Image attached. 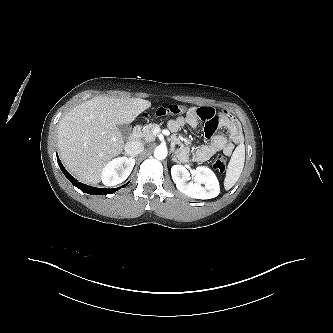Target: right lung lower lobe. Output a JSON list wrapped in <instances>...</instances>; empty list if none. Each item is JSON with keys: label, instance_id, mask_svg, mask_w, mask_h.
<instances>
[{"label": "right lung lower lobe", "instance_id": "right-lung-lower-lobe-1", "mask_svg": "<svg viewBox=\"0 0 333 333\" xmlns=\"http://www.w3.org/2000/svg\"><path fill=\"white\" fill-rule=\"evenodd\" d=\"M57 161L58 164L60 166V169L62 170L63 174L67 177V179L78 189H80L82 192H85L87 194H112L115 191H117L120 188H114V189H103V188H96V187H92V186H87L86 184H83L81 182H78L74 177H72L67 170L64 168V166L62 165L58 155H57ZM127 185V184H126ZM126 185L122 186L125 187ZM121 187V188H122Z\"/></svg>", "mask_w": 333, "mask_h": 333}]
</instances>
